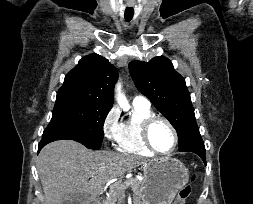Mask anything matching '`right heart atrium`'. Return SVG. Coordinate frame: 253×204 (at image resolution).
<instances>
[{"instance_id": "d8ad5b80", "label": "right heart atrium", "mask_w": 253, "mask_h": 204, "mask_svg": "<svg viewBox=\"0 0 253 204\" xmlns=\"http://www.w3.org/2000/svg\"><path fill=\"white\" fill-rule=\"evenodd\" d=\"M121 120L119 112L116 108H111L105 115L102 122V133L104 139L113 144L117 142V138L121 128Z\"/></svg>"}]
</instances>
